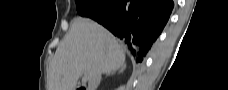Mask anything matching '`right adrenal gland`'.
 <instances>
[{"label":"right adrenal gland","instance_id":"2a0ac1e0","mask_svg":"<svg viewBox=\"0 0 228 90\" xmlns=\"http://www.w3.org/2000/svg\"><path fill=\"white\" fill-rule=\"evenodd\" d=\"M124 69H125V66H122V67L120 68L119 72H123ZM114 73H115V71L109 72L108 74H106V77L109 76V75H112V74H114Z\"/></svg>","mask_w":228,"mask_h":90}]
</instances>
